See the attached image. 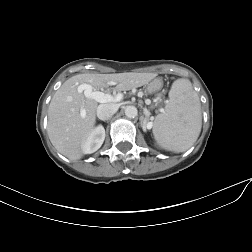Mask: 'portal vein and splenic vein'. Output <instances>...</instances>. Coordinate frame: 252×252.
I'll list each match as a JSON object with an SVG mask.
<instances>
[{
	"label": "portal vein and splenic vein",
	"mask_w": 252,
	"mask_h": 252,
	"mask_svg": "<svg viewBox=\"0 0 252 252\" xmlns=\"http://www.w3.org/2000/svg\"><path fill=\"white\" fill-rule=\"evenodd\" d=\"M78 92H84L86 97L92 98L99 103H107V102H120L123 98L122 94H117L113 97L110 94H105L100 91L93 90V87L89 84L83 83L78 86ZM81 116H85V113L82 112Z\"/></svg>",
	"instance_id": "18ae733b"
}]
</instances>
